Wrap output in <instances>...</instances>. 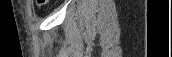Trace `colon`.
I'll list each match as a JSON object with an SVG mask.
<instances>
[{"label": "colon", "instance_id": "obj_1", "mask_svg": "<svg viewBox=\"0 0 172 57\" xmlns=\"http://www.w3.org/2000/svg\"><path fill=\"white\" fill-rule=\"evenodd\" d=\"M47 2V0H37V3L42 6Z\"/></svg>", "mask_w": 172, "mask_h": 57}]
</instances>
